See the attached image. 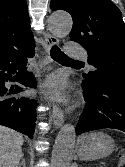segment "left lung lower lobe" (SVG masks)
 Listing matches in <instances>:
<instances>
[{
    "instance_id": "1",
    "label": "left lung lower lobe",
    "mask_w": 125,
    "mask_h": 167,
    "mask_svg": "<svg viewBox=\"0 0 125 167\" xmlns=\"http://www.w3.org/2000/svg\"><path fill=\"white\" fill-rule=\"evenodd\" d=\"M85 112L76 134L113 128L125 132V79L105 78L91 89H84Z\"/></svg>"
}]
</instances>
